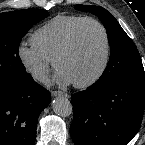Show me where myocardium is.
<instances>
[{
	"mask_svg": "<svg viewBox=\"0 0 145 145\" xmlns=\"http://www.w3.org/2000/svg\"><path fill=\"white\" fill-rule=\"evenodd\" d=\"M84 23H93L96 26H98L100 28V30L102 31L104 41H105V57H104L103 63L101 65V67L99 68V70L90 79H88L84 82H81V83H72L74 87L79 88V89H85V88L91 87L92 85L97 83L102 78V76L105 74V72L110 64L111 56H112L111 39H110L109 32H108L107 28L105 27V25L96 18L83 17L72 27V29L70 30V32L68 34L67 40H66L63 48L57 55V57L55 59L56 69H58L59 63L65 57H67L70 54V52L72 51L74 44H75V38H76L77 31L80 28V26Z\"/></svg>",
	"mask_w": 145,
	"mask_h": 145,
	"instance_id": "1",
	"label": "myocardium"
}]
</instances>
